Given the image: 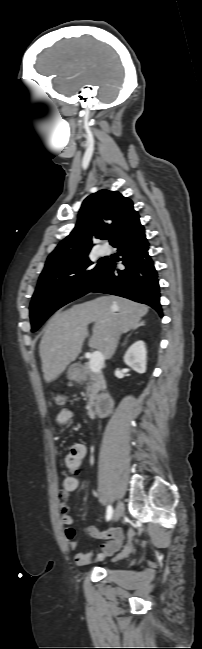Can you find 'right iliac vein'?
<instances>
[{
	"label": "right iliac vein",
	"instance_id": "obj_1",
	"mask_svg": "<svg viewBox=\"0 0 202 649\" xmlns=\"http://www.w3.org/2000/svg\"><path fill=\"white\" fill-rule=\"evenodd\" d=\"M124 510V506L122 502H119L116 506L115 512H114V521L117 522L120 517L122 516Z\"/></svg>",
	"mask_w": 202,
	"mask_h": 649
}]
</instances>
